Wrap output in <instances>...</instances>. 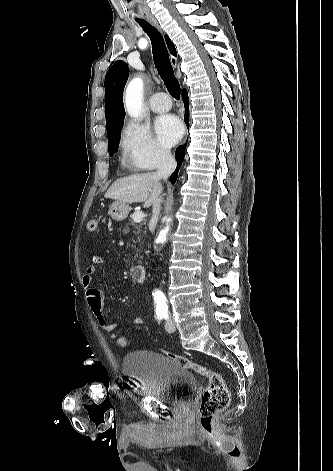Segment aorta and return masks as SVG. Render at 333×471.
Segmentation results:
<instances>
[{
  "instance_id": "aorta-1",
  "label": "aorta",
  "mask_w": 333,
  "mask_h": 471,
  "mask_svg": "<svg viewBox=\"0 0 333 471\" xmlns=\"http://www.w3.org/2000/svg\"><path fill=\"white\" fill-rule=\"evenodd\" d=\"M142 100L143 80L141 77H136L128 84L125 92V108L131 117L138 118L140 116ZM165 221L166 226L160 230L156 240L158 244L165 243L170 231L171 217H165ZM153 297L157 307L165 308L167 306L166 297L161 291L155 290Z\"/></svg>"
}]
</instances>
